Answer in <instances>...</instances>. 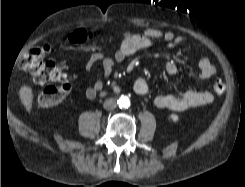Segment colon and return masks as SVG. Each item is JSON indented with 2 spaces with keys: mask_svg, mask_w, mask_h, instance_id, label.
Wrapping results in <instances>:
<instances>
[{
  "mask_svg": "<svg viewBox=\"0 0 245 187\" xmlns=\"http://www.w3.org/2000/svg\"><path fill=\"white\" fill-rule=\"evenodd\" d=\"M70 41L74 44L85 43L87 41L85 31H74L70 35ZM48 50L47 45L33 47L20 62L21 69L27 72L36 83L46 85L39 96V103L43 107L58 105L71 91V84L63 67L44 59ZM225 89V84L220 81L212 85V91L216 95L223 94Z\"/></svg>",
  "mask_w": 245,
  "mask_h": 187,
  "instance_id": "5ec220e1",
  "label": "colon"
}]
</instances>
